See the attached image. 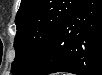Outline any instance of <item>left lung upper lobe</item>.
<instances>
[{"label":"left lung upper lobe","mask_w":102,"mask_h":75,"mask_svg":"<svg viewBox=\"0 0 102 75\" xmlns=\"http://www.w3.org/2000/svg\"><path fill=\"white\" fill-rule=\"evenodd\" d=\"M83 0H21L15 23L16 56L11 72L29 73L56 28Z\"/></svg>","instance_id":"left-lung-upper-lobe-1"}]
</instances>
